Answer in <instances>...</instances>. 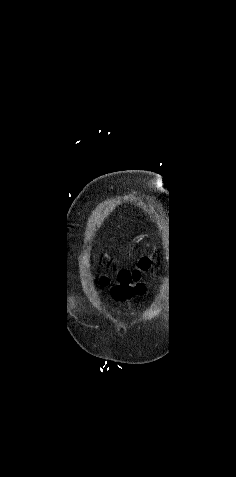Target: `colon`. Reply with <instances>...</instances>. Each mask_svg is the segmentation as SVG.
Segmentation results:
<instances>
[{"mask_svg": "<svg viewBox=\"0 0 236 477\" xmlns=\"http://www.w3.org/2000/svg\"><path fill=\"white\" fill-rule=\"evenodd\" d=\"M150 267L148 258H142L136 268L121 269L117 273V281L113 284L112 294L118 300H125L144 292V286L140 283L143 273ZM107 283L106 281H104Z\"/></svg>", "mask_w": 236, "mask_h": 477, "instance_id": "5ec220e1", "label": "colon"}]
</instances>
